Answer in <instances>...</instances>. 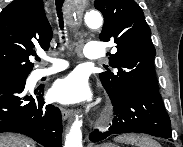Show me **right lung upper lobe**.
Instances as JSON below:
<instances>
[{
  "label": "right lung upper lobe",
  "mask_w": 183,
  "mask_h": 147,
  "mask_svg": "<svg viewBox=\"0 0 183 147\" xmlns=\"http://www.w3.org/2000/svg\"><path fill=\"white\" fill-rule=\"evenodd\" d=\"M52 29L43 0H14L0 13V83L27 77L35 48L48 50Z\"/></svg>",
  "instance_id": "1"
}]
</instances>
